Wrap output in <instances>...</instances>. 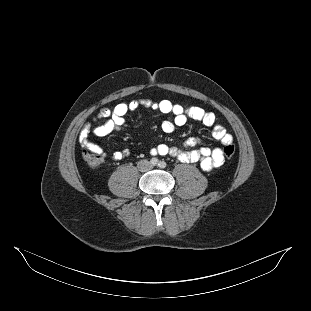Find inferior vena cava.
<instances>
[{"instance_id":"602c4592","label":"inferior vena cava","mask_w":311,"mask_h":311,"mask_svg":"<svg viewBox=\"0 0 311 311\" xmlns=\"http://www.w3.org/2000/svg\"><path fill=\"white\" fill-rule=\"evenodd\" d=\"M137 168L141 172H147L152 168V165L148 160H141L138 162Z\"/></svg>"}]
</instances>
